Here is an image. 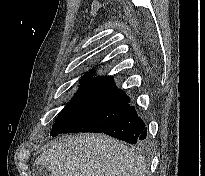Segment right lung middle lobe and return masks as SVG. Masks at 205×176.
<instances>
[{"mask_svg":"<svg viewBox=\"0 0 205 176\" xmlns=\"http://www.w3.org/2000/svg\"><path fill=\"white\" fill-rule=\"evenodd\" d=\"M130 100L100 94L74 96L59 113L50 135L62 133H101L122 117Z\"/></svg>","mask_w":205,"mask_h":176,"instance_id":"obj_1","label":"right lung middle lobe"}]
</instances>
